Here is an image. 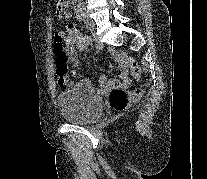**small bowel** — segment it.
<instances>
[{
  "label": "small bowel",
  "instance_id": "1",
  "mask_svg": "<svg viewBox=\"0 0 207 179\" xmlns=\"http://www.w3.org/2000/svg\"><path fill=\"white\" fill-rule=\"evenodd\" d=\"M71 16L70 12H66L62 18L69 20ZM54 39L63 40L69 45L67 55L71 64L75 67L79 65L77 53L87 50L90 44L89 39L83 37L80 31L74 27L67 30H58L55 32ZM113 56L119 69V79L108 80L106 76L101 75L99 77V91L101 93H107L117 86L128 87L130 85L126 55L122 51L114 50Z\"/></svg>",
  "mask_w": 207,
  "mask_h": 179
}]
</instances>
